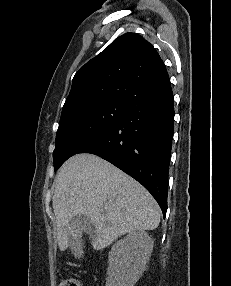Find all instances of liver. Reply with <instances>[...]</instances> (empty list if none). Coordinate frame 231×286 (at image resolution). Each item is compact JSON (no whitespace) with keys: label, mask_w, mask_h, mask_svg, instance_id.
<instances>
[{"label":"liver","mask_w":231,"mask_h":286,"mask_svg":"<svg viewBox=\"0 0 231 286\" xmlns=\"http://www.w3.org/2000/svg\"><path fill=\"white\" fill-rule=\"evenodd\" d=\"M53 210L57 241L68 248L70 221L84 215L94 226L95 250L111 245L118 237L135 231L153 230L160 223L161 210L151 194L135 179L93 154L68 159L55 178Z\"/></svg>","instance_id":"1"}]
</instances>
